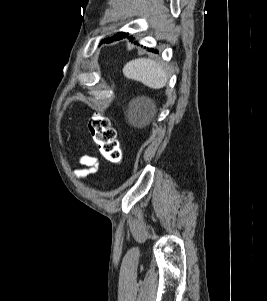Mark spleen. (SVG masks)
I'll use <instances>...</instances> for the list:
<instances>
[{
    "mask_svg": "<svg viewBox=\"0 0 267 301\" xmlns=\"http://www.w3.org/2000/svg\"><path fill=\"white\" fill-rule=\"evenodd\" d=\"M126 78L142 82L153 88H163L168 80L165 69L160 63L147 58H138L129 61L123 68Z\"/></svg>",
    "mask_w": 267,
    "mask_h": 301,
    "instance_id": "obj_1",
    "label": "spleen"
}]
</instances>
